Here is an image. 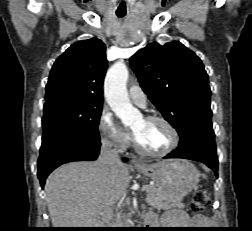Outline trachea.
I'll return each instance as SVG.
<instances>
[{"mask_svg":"<svg viewBox=\"0 0 252 231\" xmlns=\"http://www.w3.org/2000/svg\"><path fill=\"white\" fill-rule=\"evenodd\" d=\"M116 15L118 18H122L126 15V13L125 12H116Z\"/></svg>","mask_w":252,"mask_h":231,"instance_id":"1","label":"trachea"}]
</instances>
